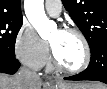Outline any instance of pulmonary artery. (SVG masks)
I'll return each instance as SVG.
<instances>
[{"label":"pulmonary artery","mask_w":107,"mask_h":89,"mask_svg":"<svg viewBox=\"0 0 107 89\" xmlns=\"http://www.w3.org/2000/svg\"><path fill=\"white\" fill-rule=\"evenodd\" d=\"M45 9L47 13L51 16H59L62 10V5L59 0H46Z\"/></svg>","instance_id":"1"}]
</instances>
